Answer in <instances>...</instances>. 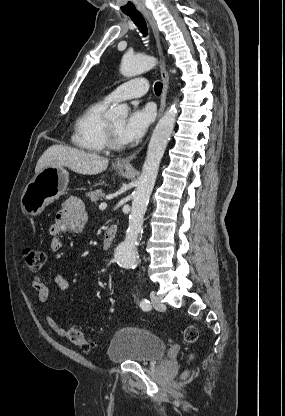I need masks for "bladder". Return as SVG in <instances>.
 Segmentation results:
<instances>
[{"instance_id": "31cf9c89", "label": "bladder", "mask_w": 285, "mask_h": 416, "mask_svg": "<svg viewBox=\"0 0 285 416\" xmlns=\"http://www.w3.org/2000/svg\"><path fill=\"white\" fill-rule=\"evenodd\" d=\"M166 341L141 327H124L113 335L108 348L111 362L149 364L166 353Z\"/></svg>"}]
</instances>
